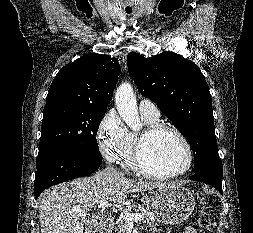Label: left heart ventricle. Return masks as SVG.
Listing matches in <instances>:
<instances>
[{
  "label": "left heart ventricle",
  "instance_id": "b2bd125f",
  "mask_svg": "<svg viewBox=\"0 0 253 233\" xmlns=\"http://www.w3.org/2000/svg\"><path fill=\"white\" fill-rule=\"evenodd\" d=\"M148 169L155 172H176L187 163V153L180 140L170 132H161L149 139L143 151Z\"/></svg>",
  "mask_w": 253,
  "mask_h": 233
}]
</instances>
